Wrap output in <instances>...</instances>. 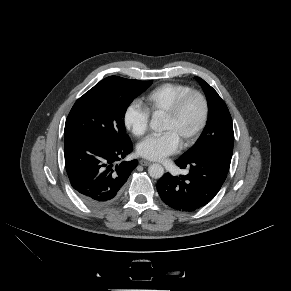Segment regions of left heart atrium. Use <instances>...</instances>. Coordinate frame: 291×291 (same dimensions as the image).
Listing matches in <instances>:
<instances>
[{
	"label": "left heart atrium",
	"instance_id": "39dd6f15",
	"mask_svg": "<svg viewBox=\"0 0 291 291\" xmlns=\"http://www.w3.org/2000/svg\"><path fill=\"white\" fill-rule=\"evenodd\" d=\"M180 140L173 131L160 135H150L137 146V153L149 160H161L175 153L180 147Z\"/></svg>",
	"mask_w": 291,
	"mask_h": 291
}]
</instances>
